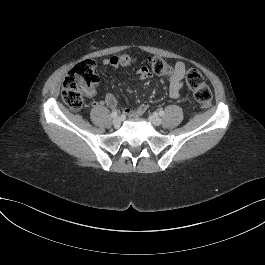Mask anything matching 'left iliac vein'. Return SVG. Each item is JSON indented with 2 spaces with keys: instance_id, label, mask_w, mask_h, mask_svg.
<instances>
[{
  "instance_id": "obj_1",
  "label": "left iliac vein",
  "mask_w": 265,
  "mask_h": 265,
  "mask_svg": "<svg viewBox=\"0 0 265 265\" xmlns=\"http://www.w3.org/2000/svg\"><path fill=\"white\" fill-rule=\"evenodd\" d=\"M149 120L155 126H159L162 123V119L158 115H156V114L150 115L149 116Z\"/></svg>"
}]
</instances>
